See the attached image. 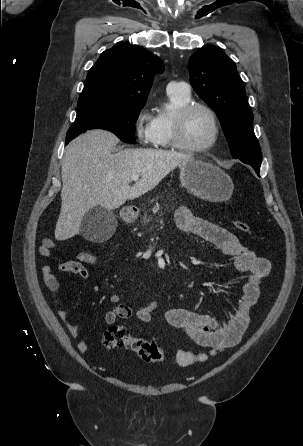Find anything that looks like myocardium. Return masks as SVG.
Listing matches in <instances>:
<instances>
[{
  "instance_id": "f54148a6",
  "label": "myocardium",
  "mask_w": 303,
  "mask_h": 446,
  "mask_svg": "<svg viewBox=\"0 0 303 446\" xmlns=\"http://www.w3.org/2000/svg\"><path fill=\"white\" fill-rule=\"evenodd\" d=\"M196 109L204 110L210 117L213 134L208 143L203 146H190L183 139L184 125L187 117ZM220 135V125L215 111L205 103L190 102L179 109L172 119V145L188 153H203L210 150L217 143Z\"/></svg>"
}]
</instances>
